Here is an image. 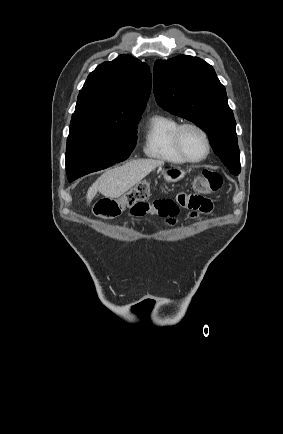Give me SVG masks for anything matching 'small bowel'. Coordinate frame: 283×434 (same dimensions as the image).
I'll use <instances>...</instances> for the list:
<instances>
[{"label": "small bowel", "mask_w": 283, "mask_h": 434, "mask_svg": "<svg viewBox=\"0 0 283 434\" xmlns=\"http://www.w3.org/2000/svg\"><path fill=\"white\" fill-rule=\"evenodd\" d=\"M187 208L192 215L208 213L212 210V201L199 193H179L174 199L159 198L153 202H139L130 208L133 217L146 215H158L168 220L170 224L175 222L180 208Z\"/></svg>", "instance_id": "1"}]
</instances>
